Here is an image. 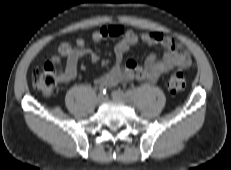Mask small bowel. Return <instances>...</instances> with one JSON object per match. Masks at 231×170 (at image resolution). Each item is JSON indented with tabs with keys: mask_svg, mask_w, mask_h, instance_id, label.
<instances>
[{
	"mask_svg": "<svg viewBox=\"0 0 231 170\" xmlns=\"http://www.w3.org/2000/svg\"><path fill=\"white\" fill-rule=\"evenodd\" d=\"M120 37L114 48L115 64L111 70L95 80L96 85L115 86L121 82L135 79H146L155 82L161 75L175 67L189 68L192 66L190 54L172 36L160 32H143L140 34L126 30L120 25L103 26L91 34L94 43L105 39ZM139 41L149 45H159L163 49L161 56L150 54L143 64L133 60L124 62V56L131 46ZM88 55L94 63L99 61V55L86 47L82 38L76 40V45L67 54L66 66L61 74V81L67 82L77 75L79 60Z\"/></svg>",
	"mask_w": 231,
	"mask_h": 170,
	"instance_id": "1",
	"label": "small bowel"
}]
</instances>
